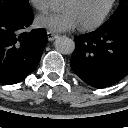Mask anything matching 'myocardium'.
I'll return each mask as SVG.
<instances>
[{"label": "myocardium", "mask_w": 128, "mask_h": 128, "mask_svg": "<svg viewBox=\"0 0 128 128\" xmlns=\"http://www.w3.org/2000/svg\"><path fill=\"white\" fill-rule=\"evenodd\" d=\"M116 2H117V0H110L108 6L103 11V13L99 16L98 19H96L92 23L80 25V29L83 31H89V30H94V29L100 27L107 20L109 15L111 14L112 10L114 9V7L116 5Z\"/></svg>", "instance_id": "myocardium-1"}]
</instances>
